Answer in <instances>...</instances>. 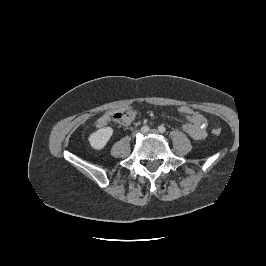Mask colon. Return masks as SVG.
Instances as JSON below:
<instances>
[{"mask_svg": "<svg viewBox=\"0 0 266 266\" xmlns=\"http://www.w3.org/2000/svg\"><path fill=\"white\" fill-rule=\"evenodd\" d=\"M177 110L184 117H190L196 113V111L192 107L187 105H180ZM133 117H134L133 109H126L112 114L113 121L119 124H125L128 121H130ZM212 133L214 135H219L221 133V129L213 128Z\"/></svg>", "mask_w": 266, "mask_h": 266, "instance_id": "5ec220e1", "label": "colon"}]
</instances>
